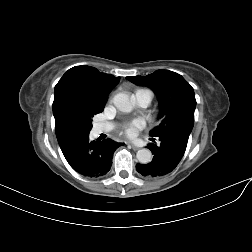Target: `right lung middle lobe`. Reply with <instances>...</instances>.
<instances>
[{"mask_svg": "<svg viewBox=\"0 0 252 252\" xmlns=\"http://www.w3.org/2000/svg\"><path fill=\"white\" fill-rule=\"evenodd\" d=\"M104 108L101 109H88L86 107L75 106L72 109L73 125L79 135L89 134L92 128V117L95 114L101 113Z\"/></svg>", "mask_w": 252, "mask_h": 252, "instance_id": "obj_1", "label": "right lung middle lobe"}]
</instances>
